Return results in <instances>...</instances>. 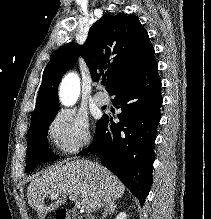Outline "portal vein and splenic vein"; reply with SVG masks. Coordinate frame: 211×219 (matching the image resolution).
Wrapping results in <instances>:
<instances>
[{"mask_svg": "<svg viewBox=\"0 0 211 219\" xmlns=\"http://www.w3.org/2000/svg\"><path fill=\"white\" fill-rule=\"evenodd\" d=\"M59 195L58 194H52L51 195V198L53 199H56ZM69 199L71 201H74L75 202V206L78 208V209H82L84 208V204L81 202V200H78V197L76 195H69Z\"/></svg>", "mask_w": 211, "mask_h": 219, "instance_id": "18ae733b", "label": "portal vein and splenic vein"}]
</instances>
